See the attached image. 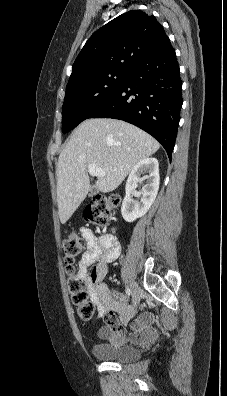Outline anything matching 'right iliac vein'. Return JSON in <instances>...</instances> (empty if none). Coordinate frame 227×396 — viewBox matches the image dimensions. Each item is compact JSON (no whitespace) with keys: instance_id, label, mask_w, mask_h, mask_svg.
Wrapping results in <instances>:
<instances>
[{"instance_id":"right-iliac-vein-1","label":"right iliac vein","mask_w":227,"mask_h":396,"mask_svg":"<svg viewBox=\"0 0 227 396\" xmlns=\"http://www.w3.org/2000/svg\"><path fill=\"white\" fill-rule=\"evenodd\" d=\"M130 287L132 290V298H133L134 307H137L140 303L141 296H142L141 289L135 282H131Z\"/></svg>"}]
</instances>
